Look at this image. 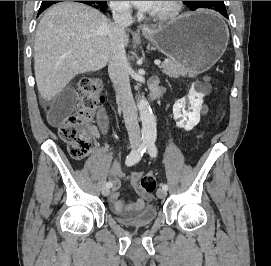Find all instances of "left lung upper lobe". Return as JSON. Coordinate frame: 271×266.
Listing matches in <instances>:
<instances>
[{
  "mask_svg": "<svg viewBox=\"0 0 271 266\" xmlns=\"http://www.w3.org/2000/svg\"><path fill=\"white\" fill-rule=\"evenodd\" d=\"M184 2L191 10L206 8L218 12L226 11L224 1H184Z\"/></svg>",
  "mask_w": 271,
  "mask_h": 266,
  "instance_id": "1",
  "label": "left lung upper lobe"
}]
</instances>
